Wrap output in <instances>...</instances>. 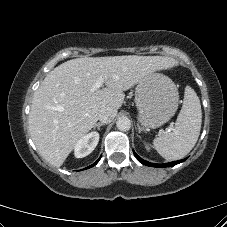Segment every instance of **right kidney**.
I'll return each instance as SVG.
<instances>
[{
    "mask_svg": "<svg viewBox=\"0 0 227 227\" xmlns=\"http://www.w3.org/2000/svg\"><path fill=\"white\" fill-rule=\"evenodd\" d=\"M99 141V134L97 132H90L79 139L75 145L74 152L76 158H83L89 155L97 146Z\"/></svg>",
    "mask_w": 227,
    "mask_h": 227,
    "instance_id": "obj_1",
    "label": "right kidney"
}]
</instances>
